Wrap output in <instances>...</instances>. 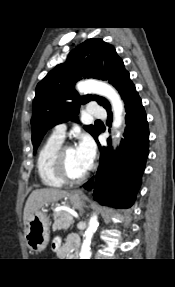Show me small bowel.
I'll return each mask as SVG.
<instances>
[{
	"label": "small bowel",
	"mask_w": 175,
	"mask_h": 287,
	"mask_svg": "<svg viewBox=\"0 0 175 287\" xmlns=\"http://www.w3.org/2000/svg\"><path fill=\"white\" fill-rule=\"evenodd\" d=\"M79 245V238L76 235H70L65 243H62L59 237H56L51 244L52 251L57 257L64 259L69 257L73 246Z\"/></svg>",
	"instance_id": "c3829d8e"
}]
</instances>
